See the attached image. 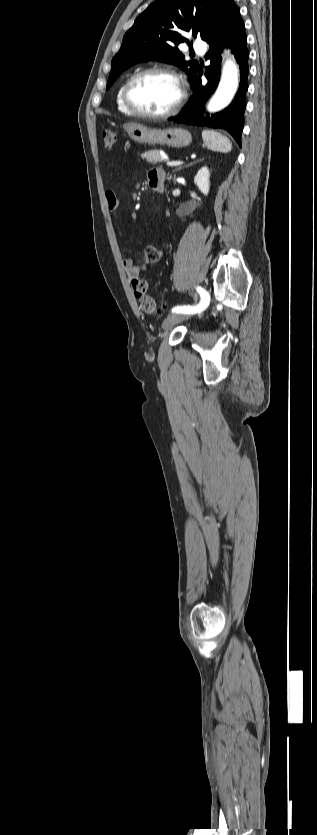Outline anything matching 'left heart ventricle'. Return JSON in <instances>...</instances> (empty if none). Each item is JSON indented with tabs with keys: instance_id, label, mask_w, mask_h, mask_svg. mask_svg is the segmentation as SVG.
Here are the masks:
<instances>
[{
	"instance_id": "1",
	"label": "left heart ventricle",
	"mask_w": 317,
	"mask_h": 835,
	"mask_svg": "<svg viewBox=\"0 0 317 835\" xmlns=\"http://www.w3.org/2000/svg\"><path fill=\"white\" fill-rule=\"evenodd\" d=\"M135 105L149 113L170 109L178 100L179 87L169 76L152 74L140 79L132 88Z\"/></svg>"
}]
</instances>
